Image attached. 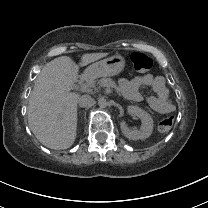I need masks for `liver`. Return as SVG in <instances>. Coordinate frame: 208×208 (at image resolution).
Segmentation results:
<instances>
[{"label":"liver","instance_id":"liver-1","mask_svg":"<svg viewBox=\"0 0 208 208\" xmlns=\"http://www.w3.org/2000/svg\"><path fill=\"white\" fill-rule=\"evenodd\" d=\"M108 53L84 54L81 66L106 57ZM79 66L68 56L47 63L38 75L29 97L28 123L35 137L46 147L60 150L75 141L78 95L71 93Z\"/></svg>","mask_w":208,"mask_h":208}]
</instances>
